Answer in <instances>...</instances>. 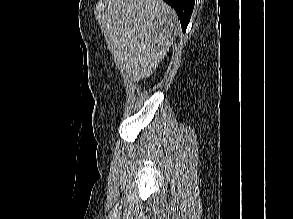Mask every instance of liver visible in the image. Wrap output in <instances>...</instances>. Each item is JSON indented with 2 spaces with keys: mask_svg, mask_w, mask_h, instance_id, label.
<instances>
[{
  "mask_svg": "<svg viewBox=\"0 0 293 219\" xmlns=\"http://www.w3.org/2000/svg\"><path fill=\"white\" fill-rule=\"evenodd\" d=\"M105 34L118 65L133 79L149 77L181 27L162 0H106Z\"/></svg>",
  "mask_w": 293,
  "mask_h": 219,
  "instance_id": "1",
  "label": "liver"
}]
</instances>
